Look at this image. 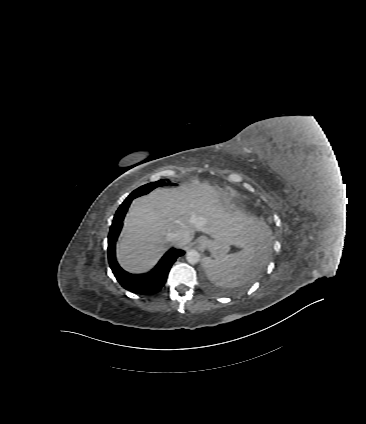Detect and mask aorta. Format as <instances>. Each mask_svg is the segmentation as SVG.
I'll return each mask as SVG.
<instances>
[{"label": "aorta", "instance_id": "obj_1", "mask_svg": "<svg viewBox=\"0 0 366 424\" xmlns=\"http://www.w3.org/2000/svg\"><path fill=\"white\" fill-rule=\"evenodd\" d=\"M186 260L190 264H197L200 260V254L197 250H189L186 254Z\"/></svg>", "mask_w": 366, "mask_h": 424}]
</instances>
